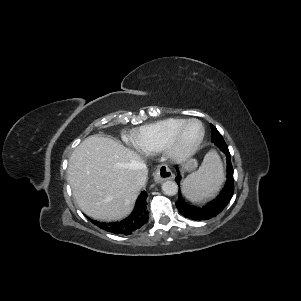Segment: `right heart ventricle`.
<instances>
[{
	"label": "right heart ventricle",
	"instance_id": "e07e8e85",
	"mask_svg": "<svg viewBox=\"0 0 301 301\" xmlns=\"http://www.w3.org/2000/svg\"><path fill=\"white\" fill-rule=\"evenodd\" d=\"M186 121L168 118L136 129L131 136L133 146L142 153L161 152L170 136Z\"/></svg>",
	"mask_w": 301,
	"mask_h": 301
}]
</instances>
